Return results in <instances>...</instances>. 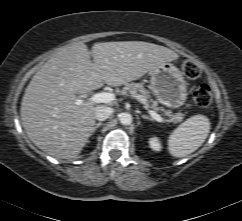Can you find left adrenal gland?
<instances>
[{"label":"left adrenal gland","mask_w":242,"mask_h":221,"mask_svg":"<svg viewBox=\"0 0 242 221\" xmlns=\"http://www.w3.org/2000/svg\"><path fill=\"white\" fill-rule=\"evenodd\" d=\"M141 117H142L143 119H148V120H150V121H153V118H151V117H149V116H147V115H141Z\"/></svg>","instance_id":"obj_1"}]
</instances>
